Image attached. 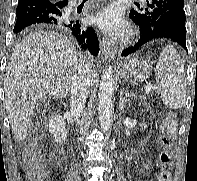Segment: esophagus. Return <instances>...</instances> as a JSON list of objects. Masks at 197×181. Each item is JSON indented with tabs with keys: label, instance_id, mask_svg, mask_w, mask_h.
Segmentation results:
<instances>
[{
	"label": "esophagus",
	"instance_id": "34e87169",
	"mask_svg": "<svg viewBox=\"0 0 197 181\" xmlns=\"http://www.w3.org/2000/svg\"><path fill=\"white\" fill-rule=\"evenodd\" d=\"M101 52L103 53L104 57L107 58H114L116 55V50L113 47V43L107 37H102L100 41Z\"/></svg>",
	"mask_w": 197,
	"mask_h": 181
}]
</instances>
